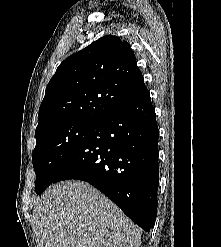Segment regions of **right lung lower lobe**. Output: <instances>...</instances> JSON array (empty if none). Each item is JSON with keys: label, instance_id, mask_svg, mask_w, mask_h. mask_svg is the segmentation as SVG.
I'll return each mask as SVG.
<instances>
[{"label": "right lung lower lobe", "instance_id": "98d812e1", "mask_svg": "<svg viewBox=\"0 0 221 247\" xmlns=\"http://www.w3.org/2000/svg\"><path fill=\"white\" fill-rule=\"evenodd\" d=\"M158 136L146 90L101 120L52 183L89 182L149 232L157 216Z\"/></svg>", "mask_w": 221, "mask_h": 247}]
</instances>
